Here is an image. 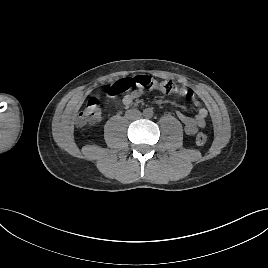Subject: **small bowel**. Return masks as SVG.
I'll list each match as a JSON object with an SVG mask.
<instances>
[{
	"label": "small bowel",
	"instance_id": "obj_1",
	"mask_svg": "<svg viewBox=\"0 0 268 268\" xmlns=\"http://www.w3.org/2000/svg\"><path fill=\"white\" fill-rule=\"evenodd\" d=\"M143 94V89L135 88L122 98V103L124 106L129 107L134 102V100L141 97ZM194 104L196 107L200 106V102L198 100H196ZM177 116L178 119L184 125L185 133L188 135H193L206 126V118L208 116V111L206 108L200 107L194 117L186 116L181 112H178Z\"/></svg>",
	"mask_w": 268,
	"mask_h": 268
}]
</instances>
